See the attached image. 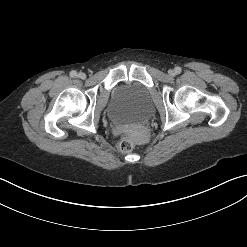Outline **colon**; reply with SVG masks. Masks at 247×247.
I'll use <instances>...</instances> for the list:
<instances>
[{"label": "colon", "mask_w": 247, "mask_h": 247, "mask_svg": "<svg viewBox=\"0 0 247 247\" xmlns=\"http://www.w3.org/2000/svg\"><path fill=\"white\" fill-rule=\"evenodd\" d=\"M135 147V140L130 136H124L118 144V150L122 153H129Z\"/></svg>", "instance_id": "5ec220e1"}]
</instances>
